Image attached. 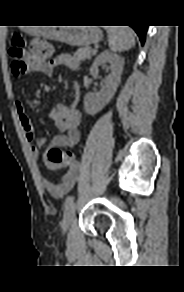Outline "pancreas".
Masks as SVG:
<instances>
[{
    "instance_id": "obj_1",
    "label": "pancreas",
    "mask_w": 184,
    "mask_h": 292,
    "mask_svg": "<svg viewBox=\"0 0 184 292\" xmlns=\"http://www.w3.org/2000/svg\"><path fill=\"white\" fill-rule=\"evenodd\" d=\"M93 55L92 49L89 46L81 47L74 53V59L76 61H82L90 59Z\"/></svg>"
}]
</instances>
